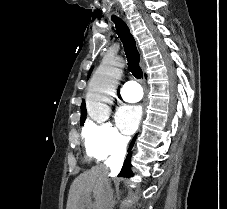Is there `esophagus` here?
<instances>
[{
	"mask_svg": "<svg viewBox=\"0 0 227 209\" xmlns=\"http://www.w3.org/2000/svg\"><path fill=\"white\" fill-rule=\"evenodd\" d=\"M121 18L124 19L125 22L129 25V22H128V20H127V18H128V15H127V14H122V15H121Z\"/></svg>",
	"mask_w": 227,
	"mask_h": 209,
	"instance_id": "obj_1",
	"label": "esophagus"
}]
</instances>
